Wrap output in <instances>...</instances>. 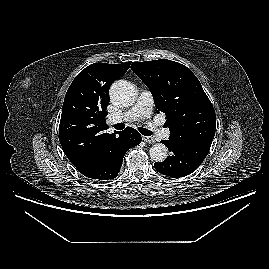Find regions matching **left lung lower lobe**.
Listing matches in <instances>:
<instances>
[{
    "instance_id": "left-lung-lower-lobe-1",
    "label": "left lung lower lobe",
    "mask_w": 269,
    "mask_h": 269,
    "mask_svg": "<svg viewBox=\"0 0 269 269\" xmlns=\"http://www.w3.org/2000/svg\"><path fill=\"white\" fill-rule=\"evenodd\" d=\"M168 146L171 155L163 162L154 163L155 169L169 177H184L193 173L207 156L210 145H183L171 140L161 141Z\"/></svg>"
}]
</instances>
